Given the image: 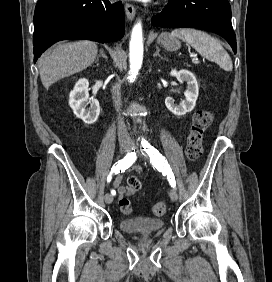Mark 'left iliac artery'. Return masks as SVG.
<instances>
[{
  "label": "left iliac artery",
  "instance_id": "1",
  "mask_svg": "<svg viewBox=\"0 0 272 282\" xmlns=\"http://www.w3.org/2000/svg\"><path fill=\"white\" fill-rule=\"evenodd\" d=\"M143 150L149 155L152 165L161 171L162 173L167 175V179L171 185V187L176 186L174 174L165 160V158L159 153V151L151 146L145 139L141 142Z\"/></svg>",
  "mask_w": 272,
  "mask_h": 282
}]
</instances>
